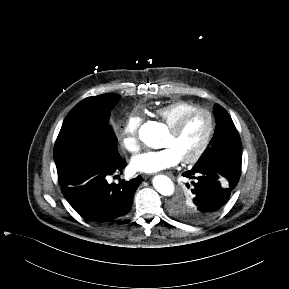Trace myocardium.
<instances>
[{"mask_svg":"<svg viewBox=\"0 0 289 289\" xmlns=\"http://www.w3.org/2000/svg\"><path fill=\"white\" fill-rule=\"evenodd\" d=\"M197 114L207 115V117L209 119V130H208L207 136H206L204 142L202 143V145L200 146V148L192 156L181 159V161L184 164L196 163L198 160L201 159V157L205 154V152L209 148L211 141L213 139L214 133H215V128H216L215 117L212 114V112L209 111L208 109L196 108V109H193V110L188 111L185 114H183L173 125H171L169 127V131L172 134L176 135V134L181 132V130L184 128V126L188 122V120Z\"/></svg>","mask_w":289,"mask_h":289,"instance_id":"obj_1","label":"myocardium"}]
</instances>
